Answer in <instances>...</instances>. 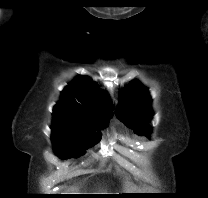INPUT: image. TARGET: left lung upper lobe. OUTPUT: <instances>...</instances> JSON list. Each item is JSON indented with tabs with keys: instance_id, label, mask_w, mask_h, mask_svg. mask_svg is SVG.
Wrapping results in <instances>:
<instances>
[{
	"instance_id": "left-lung-upper-lobe-1",
	"label": "left lung upper lobe",
	"mask_w": 208,
	"mask_h": 198,
	"mask_svg": "<svg viewBox=\"0 0 208 198\" xmlns=\"http://www.w3.org/2000/svg\"><path fill=\"white\" fill-rule=\"evenodd\" d=\"M151 101L148 89L139 81H132L121 91L116 115L127 126L134 128L139 135L148 137L151 128L146 123L153 117Z\"/></svg>"
}]
</instances>
